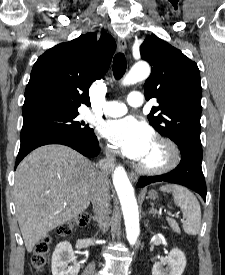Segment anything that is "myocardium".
<instances>
[{"instance_id": "f54148a6", "label": "myocardium", "mask_w": 225, "mask_h": 275, "mask_svg": "<svg viewBox=\"0 0 225 275\" xmlns=\"http://www.w3.org/2000/svg\"><path fill=\"white\" fill-rule=\"evenodd\" d=\"M154 142L160 144L165 152V159L162 164L158 166H147L139 163L137 169L140 173L145 175H161L173 170L180 161V151L177 145L170 139L163 136H156Z\"/></svg>"}]
</instances>
